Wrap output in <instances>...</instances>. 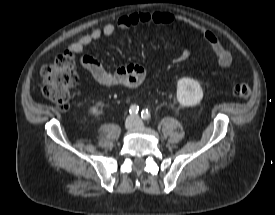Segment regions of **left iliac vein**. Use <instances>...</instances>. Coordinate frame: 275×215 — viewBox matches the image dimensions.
<instances>
[{
	"mask_svg": "<svg viewBox=\"0 0 275 215\" xmlns=\"http://www.w3.org/2000/svg\"><path fill=\"white\" fill-rule=\"evenodd\" d=\"M134 119H135V126L136 127H138V128L144 127L143 121L138 116H135Z\"/></svg>",
	"mask_w": 275,
	"mask_h": 215,
	"instance_id": "4c4485c4",
	"label": "left iliac vein"
}]
</instances>
